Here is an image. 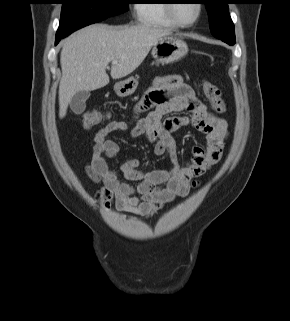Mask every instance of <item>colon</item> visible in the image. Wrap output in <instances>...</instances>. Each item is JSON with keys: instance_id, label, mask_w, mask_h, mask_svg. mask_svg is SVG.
<instances>
[{"instance_id": "1", "label": "colon", "mask_w": 290, "mask_h": 321, "mask_svg": "<svg viewBox=\"0 0 290 321\" xmlns=\"http://www.w3.org/2000/svg\"><path fill=\"white\" fill-rule=\"evenodd\" d=\"M202 89L209 100L213 109L217 112L225 111V103L221 97V92L218 87L210 81H203ZM105 120V116L102 112L97 110L88 111L83 116V126L85 129H90L97 126Z\"/></svg>"}]
</instances>
